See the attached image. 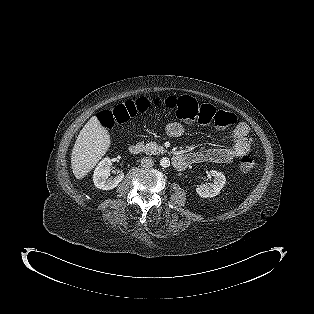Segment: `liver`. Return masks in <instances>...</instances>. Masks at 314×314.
Instances as JSON below:
<instances>
[{
  "instance_id": "obj_1",
  "label": "liver",
  "mask_w": 314,
  "mask_h": 314,
  "mask_svg": "<svg viewBox=\"0 0 314 314\" xmlns=\"http://www.w3.org/2000/svg\"><path fill=\"white\" fill-rule=\"evenodd\" d=\"M111 145L109 132L97 117H92L80 131L71 155V168L76 179L87 175L106 154Z\"/></svg>"
}]
</instances>
